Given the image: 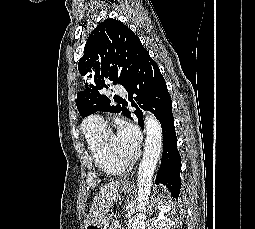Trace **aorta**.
<instances>
[{
	"instance_id": "obj_1",
	"label": "aorta",
	"mask_w": 255,
	"mask_h": 229,
	"mask_svg": "<svg viewBox=\"0 0 255 229\" xmlns=\"http://www.w3.org/2000/svg\"><path fill=\"white\" fill-rule=\"evenodd\" d=\"M145 131V148L137 175L138 207L132 229H145L146 206L163 142L162 127L155 116L149 114L145 117Z\"/></svg>"
}]
</instances>
